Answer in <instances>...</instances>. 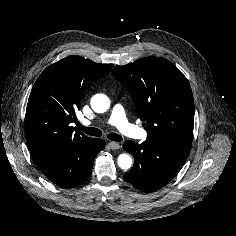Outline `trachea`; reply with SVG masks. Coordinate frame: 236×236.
<instances>
[{
    "label": "trachea",
    "instance_id": "trachea-1",
    "mask_svg": "<svg viewBox=\"0 0 236 236\" xmlns=\"http://www.w3.org/2000/svg\"><path fill=\"white\" fill-rule=\"evenodd\" d=\"M78 128L87 135L96 136V137H101L102 136V131L97 129V128L84 127L80 124L78 125ZM107 138L109 140L116 141V142L122 141V137L117 133H109Z\"/></svg>",
    "mask_w": 236,
    "mask_h": 236
}]
</instances>
